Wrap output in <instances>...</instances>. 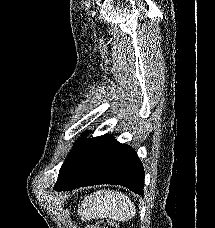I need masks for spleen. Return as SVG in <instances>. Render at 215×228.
I'll list each match as a JSON object with an SVG mask.
<instances>
[{"mask_svg":"<svg viewBox=\"0 0 215 228\" xmlns=\"http://www.w3.org/2000/svg\"><path fill=\"white\" fill-rule=\"evenodd\" d=\"M82 218H110L117 222H128L136 214L135 206L128 196L110 190H98L91 194L80 212Z\"/></svg>","mask_w":215,"mask_h":228,"instance_id":"1","label":"spleen"}]
</instances>
